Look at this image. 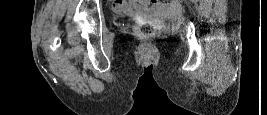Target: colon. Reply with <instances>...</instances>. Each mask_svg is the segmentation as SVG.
<instances>
[{"mask_svg":"<svg viewBox=\"0 0 267 115\" xmlns=\"http://www.w3.org/2000/svg\"><path fill=\"white\" fill-rule=\"evenodd\" d=\"M154 3H168L170 0H151ZM160 33V30L157 26L149 23H145L140 25L138 28L135 29V34L145 40L153 39L157 37Z\"/></svg>","mask_w":267,"mask_h":115,"instance_id":"colon-1","label":"colon"}]
</instances>
